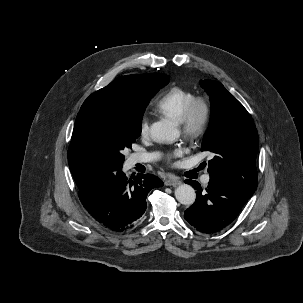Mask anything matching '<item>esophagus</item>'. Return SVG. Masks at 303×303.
I'll return each instance as SVG.
<instances>
[{
	"label": "esophagus",
	"instance_id": "1",
	"mask_svg": "<svg viewBox=\"0 0 303 303\" xmlns=\"http://www.w3.org/2000/svg\"><path fill=\"white\" fill-rule=\"evenodd\" d=\"M181 184V181L177 178H173V179H168L165 181V185L166 186H176Z\"/></svg>",
	"mask_w": 303,
	"mask_h": 303
}]
</instances>
